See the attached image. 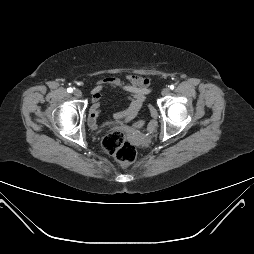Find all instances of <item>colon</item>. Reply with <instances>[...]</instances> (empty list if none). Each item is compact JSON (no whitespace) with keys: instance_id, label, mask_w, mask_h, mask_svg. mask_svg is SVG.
<instances>
[{"instance_id":"colon-1","label":"colon","mask_w":254,"mask_h":254,"mask_svg":"<svg viewBox=\"0 0 254 254\" xmlns=\"http://www.w3.org/2000/svg\"><path fill=\"white\" fill-rule=\"evenodd\" d=\"M103 147L122 167L130 166L136 158L135 147L127 140L126 131L122 128L112 130L104 138Z\"/></svg>"}]
</instances>
